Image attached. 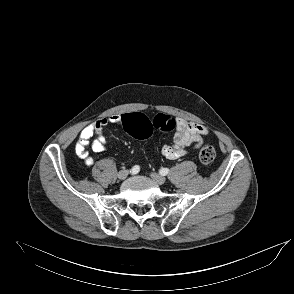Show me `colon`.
Wrapping results in <instances>:
<instances>
[{
	"label": "colon",
	"instance_id": "1",
	"mask_svg": "<svg viewBox=\"0 0 294 294\" xmlns=\"http://www.w3.org/2000/svg\"><path fill=\"white\" fill-rule=\"evenodd\" d=\"M122 125L124 130L136 139L144 140L150 137L154 130L169 132L175 129L176 120L169 115L159 114L150 120L142 113H130L123 115ZM216 157L215 148L211 144H205L199 151V160L203 164H210Z\"/></svg>",
	"mask_w": 294,
	"mask_h": 294
}]
</instances>
